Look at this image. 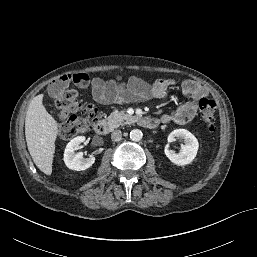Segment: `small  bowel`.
<instances>
[{
    "instance_id": "obj_1",
    "label": "small bowel",
    "mask_w": 257,
    "mask_h": 257,
    "mask_svg": "<svg viewBox=\"0 0 257 257\" xmlns=\"http://www.w3.org/2000/svg\"><path fill=\"white\" fill-rule=\"evenodd\" d=\"M177 86L188 100L174 112L162 115L160 120L163 124L183 125L194 118L199 100L207 94L206 89L193 80H185L179 85L175 79H159L153 85H149L138 77H131L125 84L116 86L112 81L104 82L100 78H94L90 95L99 104L122 105L151 98H164L169 89Z\"/></svg>"
}]
</instances>
